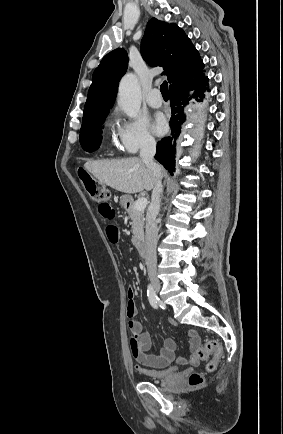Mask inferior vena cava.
I'll list each match as a JSON object with an SVG mask.
<instances>
[{"mask_svg":"<svg viewBox=\"0 0 283 434\" xmlns=\"http://www.w3.org/2000/svg\"><path fill=\"white\" fill-rule=\"evenodd\" d=\"M155 152V140L151 137L146 138L140 150V158L156 176V182L151 196V204L146 215V265L150 280L154 283H158L156 257L158 228L156 225V217L160 210L163 187L161 182V168L154 162Z\"/></svg>","mask_w":283,"mask_h":434,"instance_id":"1","label":"inferior vena cava"}]
</instances>
